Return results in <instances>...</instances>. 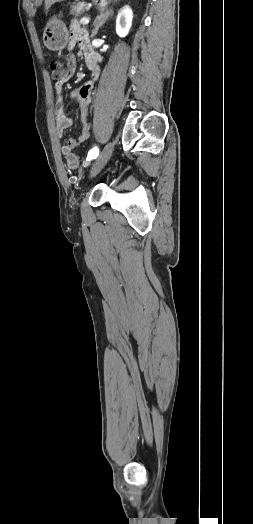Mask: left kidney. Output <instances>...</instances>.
Returning <instances> with one entry per match:
<instances>
[{
  "mask_svg": "<svg viewBox=\"0 0 253 524\" xmlns=\"http://www.w3.org/2000/svg\"><path fill=\"white\" fill-rule=\"evenodd\" d=\"M132 19H133V12L130 8V6L126 5L123 7L116 19V33L120 37H125L132 25Z\"/></svg>",
  "mask_w": 253,
  "mask_h": 524,
  "instance_id": "left-kidney-1",
  "label": "left kidney"
}]
</instances>
